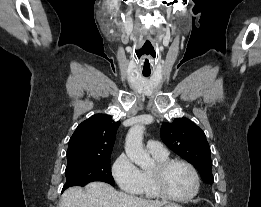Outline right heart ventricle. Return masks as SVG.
I'll return each instance as SVG.
<instances>
[{
  "instance_id": "right-heart-ventricle-1",
  "label": "right heart ventricle",
  "mask_w": 261,
  "mask_h": 207,
  "mask_svg": "<svg viewBox=\"0 0 261 207\" xmlns=\"http://www.w3.org/2000/svg\"><path fill=\"white\" fill-rule=\"evenodd\" d=\"M156 163H160L169 159L168 154L164 156L160 155H152ZM143 176V188L140 194L148 198H157L159 197L158 193L156 192L152 179H151V171H141Z\"/></svg>"
}]
</instances>
